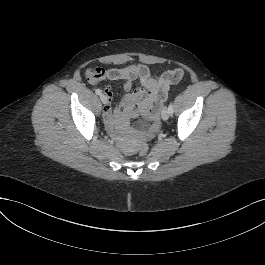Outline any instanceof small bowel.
<instances>
[{"label":"small bowel","instance_id":"1","mask_svg":"<svg viewBox=\"0 0 265 265\" xmlns=\"http://www.w3.org/2000/svg\"><path fill=\"white\" fill-rule=\"evenodd\" d=\"M112 62L121 64L124 61L116 59ZM103 71V78L91 83H98L102 80L123 81L124 88L128 92L120 104L112 109L113 93L109 86L103 88V93L107 98L103 111L104 122L112 132L119 130L130 118L137 115L143 114L152 117L157 114L167 98L170 86L183 77L181 68L168 70L159 77H153L149 68L142 63H134L107 70L103 69ZM136 80L140 82L141 86L131 91L132 83Z\"/></svg>","mask_w":265,"mask_h":265}]
</instances>
